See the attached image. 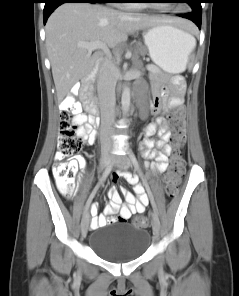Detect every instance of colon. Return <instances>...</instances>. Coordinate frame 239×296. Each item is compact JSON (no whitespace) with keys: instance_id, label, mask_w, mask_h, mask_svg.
Instances as JSON below:
<instances>
[{"instance_id":"obj_1","label":"colon","mask_w":239,"mask_h":296,"mask_svg":"<svg viewBox=\"0 0 239 296\" xmlns=\"http://www.w3.org/2000/svg\"><path fill=\"white\" fill-rule=\"evenodd\" d=\"M174 79H182L175 77ZM58 151L55 155L54 176L60 192L66 196H72L75 187V176L78 170V155L83 147V139L79 135L80 123L75 120L78 105L71 97L61 103ZM172 123L171 143L174 147L170 165L164 176L163 184L166 196L174 198L179 190L181 177L184 173L185 160L183 150L185 145V109L183 106L174 108L170 115ZM136 226L148 224L145 215L135 216L132 220Z\"/></svg>"}]
</instances>
